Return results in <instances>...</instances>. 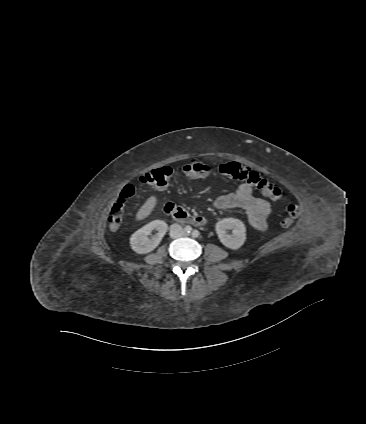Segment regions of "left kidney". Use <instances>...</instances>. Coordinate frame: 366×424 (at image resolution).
I'll use <instances>...</instances> for the list:
<instances>
[{"label":"left kidney","instance_id":"1","mask_svg":"<svg viewBox=\"0 0 366 424\" xmlns=\"http://www.w3.org/2000/svg\"><path fill=\"white\" fill-rule=\"evenodd\" d=\"M232 230V235L226 230ZM216 233L220 242L227 248L239 249L246 240V228L244 223L236 218H224L216 223Z\"/></svg>","mask_w":366,"mask_h":424}]
</instances>
